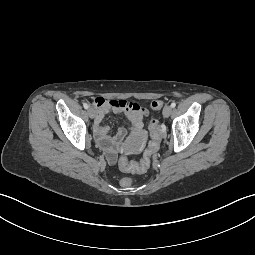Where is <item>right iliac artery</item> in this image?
Returning <instances> with one entry per match:
<instances>
[{
	"label": "right iliac artery",
	"mask_w": 255,
	"mask_h": 255,
	"mask_svg": "<svg viewBox=\"0 0 255 255\" xmlns=\"http://www.w3.org/2000/svg\"><path fill=\"white\" fill-rule=\"evenodd\" d=\"M83 106L85 109H88V107H89L87 103H83Z\"/></svg>",
	"instance_id": "82829eb1"
}]
</instances>
